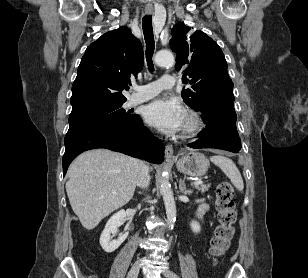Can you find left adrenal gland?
<instances>
[{
	"instance_id": "obj_1",
	"label": "left adrenal gland",
	"mask_w": 308,
	"mask_h": 278,
	"mask_svg": "<svg viewBox=\"0 0 308 278\" xmlns=\"http://www.w3.org/2000/svg\"><path fill=\"white\" fill-rule=\"evenodd\" d=\"M179 189H180V192L183 193V194H186V195L192 194V190L186 189L185 181L182 180V179H180V181H179Z\"/></svg>"
}]
</instances>
